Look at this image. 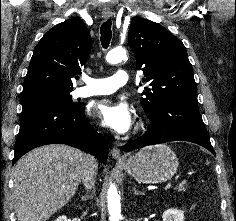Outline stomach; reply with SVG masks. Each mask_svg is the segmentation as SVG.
I'll return each instance as SVG.
<instances>
[{"instance_id": "0dacf381", "label": "stomach", "mask_w": 236, "mask_h": 221, "mask_svg": "<svg viewBox=\"0 0 236 221\" xmlns=\"http://www.w3.org/2000/svg\"><path fill=\"white\" fill-rule=\"evenodd\" d=\"M178 165L176 154L167 145L157 144L139 150L122 166L139 183L158 184L171 179Z\"/></svg>"}]
</instances>
